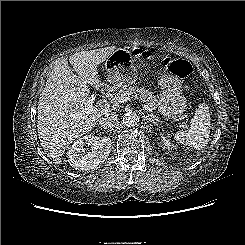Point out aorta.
I'll use <instances>...</instances> for the list:
<instances>
[{
    "label": "aorta",
    "mask_w": 245,
    "mask_h": 245,
    "mask_svg": "<svg viewBox=\"0 0 245 245\" xmlns=\"http://www.w3.org/2000/svg\"><path fill=\"white\" fill-rule=\"evenodd\" d=\"M139 117L133 112L126 113L123 118V123L128 127H134L138 124Z\"/></svg>",
    "instance_id": "1"
}]
</instances>
